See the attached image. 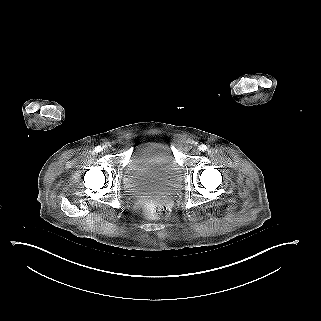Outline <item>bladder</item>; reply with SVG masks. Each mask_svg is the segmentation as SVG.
I'll return each mask as SVG.
<instances>
[{
	"mask_svg": "<svg viewBox=\"0 0 321 321\" xmlns=\"http://www.w3.org/2000/svg\"><path fill=\"white\" fill-rule=\"evenodd\" d=\"M181 181V166L171 146L161 141L137 145L122 172L123 188L132 196L168 194Z\"/></svg>",
	"mask_w": 321,
	"mask_h": 321,
	"instance_id": "bladder-1",
	"label": "bladder"
}]
</instances>
